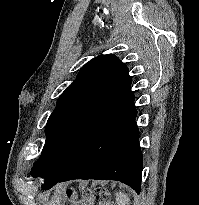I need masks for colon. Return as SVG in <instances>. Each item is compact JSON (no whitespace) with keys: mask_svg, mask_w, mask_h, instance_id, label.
Segmentation results:
<instances>
[{"mask_svg":"<svg viewBox=\"0 0 199 205\" xmlns=\"http://www.w3.org/2000/svg\"><path fill=\"white\" fill-rule=\"evenodd\" d=\"M74 191L73 189L69 188L66 190V200L69 201L71 197L73 196ZM106 192L102 188H98L92 191H88L85 196V201L87 204H90L91 202L95 201L99 205L103 204L106 201Z\"/></svg>","mask_w":199,"mask_h":205,"instance_id":"colon-1","label":"colon"}]
</instances>
